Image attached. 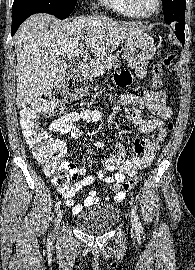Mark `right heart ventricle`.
I'll return each mask as SVG.
<instances>
[{"label":"right heart ventricle","instance_id":"right-heart-ventricle-1","mask_svg":"<svg viewBox=\"0 0 195 270\" xmlns=\"http://www.w3.org/2000/svg\"><path fill=\"white\" fill-rule=\"evenodd\" d=\"M102 3L117 14L128 18H145L135 6L134 0H101Z\"/></svg>","mask_w":195,"mask_h":270}]
</instances>
